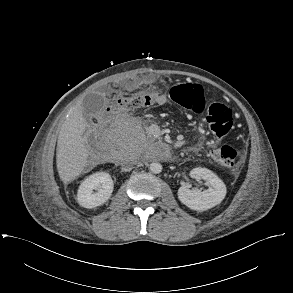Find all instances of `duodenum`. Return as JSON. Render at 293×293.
I'll list each match as a JSON object with an SVG mask.
<instances>
[{
  "label": "duodenum",
  "mask_w": 293,
  "mask_h": 293,
  "mask_svg": "<svg viewBox=\"0 0 293 293\" xmlns=\"http://www.w3.org/2000/svg\"><path fill=\"white\" fill-rule=\"evenodd\" d=\"M111 159H114V155H112V156H109Z\"/></svg>",
  "instance_id": "410a0bca"
}]
</instances>
